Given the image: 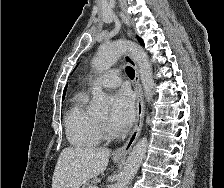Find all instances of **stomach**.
I'll return each instance as SVG.
<instances>
[{
    "label": "stomach",
    "mask_w": 224,
    "mask_h": 188,
    "mask_svg": "<svg viewBox=\"0 0 224 188\" xmlns=\"http://www.w3.org/2000/svg\"><path fill=\"white\" fill-rule=\"evenodd\" d=\"M114 160H115L116 162L121 161V159H120V158H114Z\"/></svg>",
    "instance_id": "1"
}]
</instances>
